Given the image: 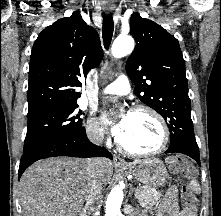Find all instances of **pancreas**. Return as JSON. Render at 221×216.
Segmentation results:
<instances>
[{
    "label": "pancreas",
    "instance_id": "pancreas-1",
    "mask_svg": "<svg viewBox=\"0 0 221 216\" xmlns=\"http://www.w3.org/2000/svg\"><path fill=\"white\" fill-rule=\"evenodd\" d=\"M161 196L162 194L154 188L144 187L143 189H136V198L142 207L149 208L154 206Z\"/></svg>",
    "mask_w": 221,
    "mask_h": 216
}]
</instances>
